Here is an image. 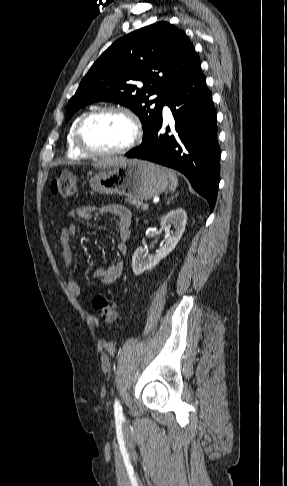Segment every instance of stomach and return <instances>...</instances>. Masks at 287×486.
I'll return each mask as SVG.
<instances>
[{
	"mask_svg": "<svg viewBox=\"0 0 287 486\" xmlns=\"http://www.w3.org/2000/svg\"><path fill=\"white\" fill-rule=\"evenodd\" d=\"M89 183L100 194H118L142 201L165 191L169 185V176L166 169L154 163L126 159L98 172Z\"/></svg>",
	"mask_w": 287,
	"mask_h": 486,
	"instance_id": "stomach-1",
	"label": "stomach"
}]
</instances>
